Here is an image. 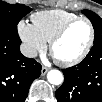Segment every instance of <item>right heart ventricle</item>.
<instances>
[{"mask_svg":"<svg viewBox=\"0 0 102 102\" xmlns=\"http://www.w3.org/2000/svg\"><path fill=\"white\" fill-rule=\"evenodd\" d=\"M78 16L68 11L53 9L43 10L31 16L32 25L40 36L50 42L51 38L69 21Z\"/></svg>","mask_w":102,"mask_h":102,"instance_id":"e07e8e85","label":"right heart ventricle"}]
</instances>
